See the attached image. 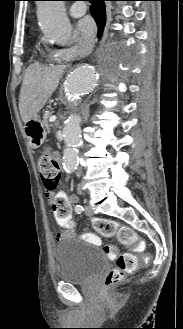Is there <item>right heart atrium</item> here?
<instances>
[{
	"mask_svg": "<svg viewBox=\"0 0 183 329\" xmlns=\"http://www.w3.org/2000/svg\"><path fill=\"white\" fill-rule=\"evenodd\" d=\"M89 43L80 39L77 36L73 37V44L69 47H64L57 50L56 55L58 59H71L73 58L81 48H88Z\"/></svg>",
	"mask_w": 183,
	"mask_h": 329,
	"instance_id": "d8ad5b80",
	"label": "right heart atrium"
}]
</instances>
